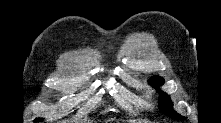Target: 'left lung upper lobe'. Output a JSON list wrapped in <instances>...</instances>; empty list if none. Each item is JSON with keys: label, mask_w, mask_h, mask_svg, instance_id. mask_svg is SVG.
I'll return each mask as SVG.
<instances>
[{"label": "left lung upper lobe", "mask_w": 221, "mask_h": 123, "mask_svg": "<svg viewBox=\"0 0 221 123\" xmlns=\"http://www.w3.org/2000/svg\"><path fill=\"white\" fill-rule=\"evenodd\" d=\"M149 83L152 85H161L163 83V79H161L159 76H154L149 80ZM158 92L161 93L159 97V107L161 111L165 115H168L169 117L174 118V119L183 118L182 116H180L173 110L170 97L164 92H161V91H158Z\"/></svg>", "instance_id": "5c2ea615"}]
</instances>
